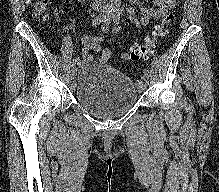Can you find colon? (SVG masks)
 Segmentation results:
<instances>
[{
	"instance_id": "obj_1",
	"label": "colon",
	"mask_w": 219,
	"mask_h": 192,
	"mask_svg": "<svg viewBox=\"0 0 219 192\" xmlns=\"http://www.w3.org/2000/svg\"><path fill=\"white\" fill-rule=\"evenodd\" d=\"M33 15L36 18L44 19L47 17L49 12V1L48 0H32L31 3ZM174 25V16L172 14L166 15L161 23L156 27L152 37L146 39L145 42L141 44H135L131 46L125 58L130 61L139 60L142 57H145L149 51L157 46L162 38H164L170 29ZM111 56V52L109 50L103 51V57L108 59Z\"/></svg>"
}]
</instances>
